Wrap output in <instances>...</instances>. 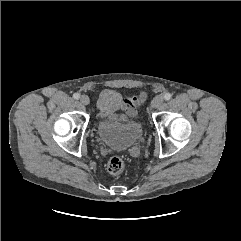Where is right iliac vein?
I'll return each mask as SVG.
<instances>
[{
    "label": "right iliac vein",
    "mask_w": 241,
    "mask_h": 241,
    "mask_svg": "<svg viewBox=\"0 0 241 241\" xmlns=\"http://www.w3.org/2000/svg\"><path fill=\"white\" fill-rule=\"evenodd\" d=\"M80 102L83 104V105H88L90 103V99L87 95H82L80 97Z\"/></svg>",
    "instance_id": "1"
}]
</instances>
